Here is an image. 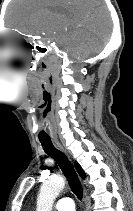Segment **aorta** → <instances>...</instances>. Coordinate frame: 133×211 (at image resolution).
Segmentation results:
<instances>
[{"label": "aorta", "instance_id": "762f6f07", "mask_svg": "<svg viewBox=\"0 0 133 211\" xmlns=\"http://www.w3.org/2000/svg\"><path fill=\"white\" fill-rule=\"evenodd\" d=\"M64 186L65 181L60 176H54L46 180L42 184L37 198V211H50L55 199Z\"/></svg>", "mask_w": 133, "mask_h": 211}]
</instances>
